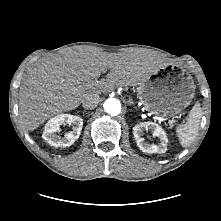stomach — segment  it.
Here are the masks:
<instances>
[{
	"label": "stomach",
	"mask_w": 221,
	"mask_h": 221,
	"mask_svg": "<svg viewBox=\"0 0 221 221\" xmlns=\"http://www.w3.org/2000/svg\"><path fill=\"white\" fill-rule=\"evenodd\" d=\"M138 99L152 114L171 117L182 112L195 95V84L185 70H157L138 83Z\"/></svg>",
	"instance_id": "1"
}]
</instances>
